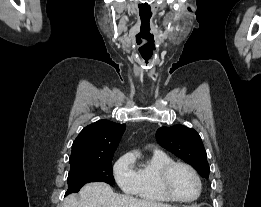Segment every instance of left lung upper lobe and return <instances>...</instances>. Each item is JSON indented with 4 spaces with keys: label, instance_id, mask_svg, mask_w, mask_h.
Returning a JSON list of instances; mask_svg holds the SVG:
<instances>
[{
    "label": "left lung upper lobe",
    "instance_id": "obj_1",
    "mask_svg": "<svg viewBox=\"0 0 261 207\" xmlns=\"http://www.w3.org/2000/svg\"><path fill=\"white\" fill-rule=\"evenodd\" d=\"M156 139L162 147L192 165L202 177H209L206 151L194 129L180 124L161 127L156 132Z\"/></svg>",
    "mask_w": 261,
    "mask_h": 207
}]
</instances>
